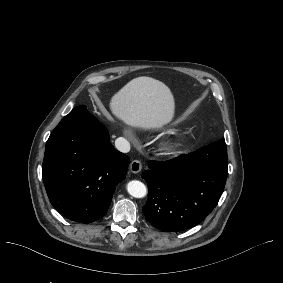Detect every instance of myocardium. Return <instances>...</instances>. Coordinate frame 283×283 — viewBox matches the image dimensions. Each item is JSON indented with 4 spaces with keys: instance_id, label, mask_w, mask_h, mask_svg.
<instances>
[{
    "instance_id": "1",
    "label": "myocardium",
    "mask_w": 283,
    "mask_h": 283,
    "mask_svg": "<svg viewBox=\"0 0 283 283\" xmlns=\"http://www.w3.org/2000/svg\"><path fill=\"white\" fill-rule=\"evenodd\" d=\"M185 141L181 137H168L161 142V155L165 160H173L181 156Z\"/></svg>"
}]
</instances>
